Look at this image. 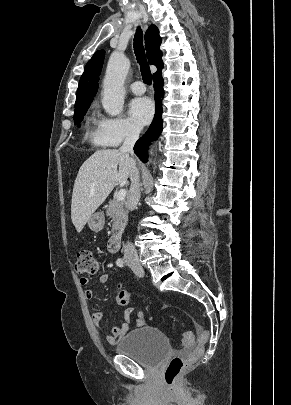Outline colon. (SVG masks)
<instances>
[{
    "mask_svg": "<svg viewBox=\"0 0 291 405\" xmlns=\"http://www.w3.org/2000/svg\"><path fill=\"white\" fill-rule=\"evenodd\" d=\"M76 271L81 274L95 275L99 271V264L94 258L92 252L87 248H82L77 252L76 259ZM131 294L124 286H119L116 301L120 305H126L129 303ZM209 340V332L206 329H202L199 334L197 346L192 353L186 357L175 356L173 357L164 373L165 382L168 385H173L178 380L183 370L196 362L204 353L205 345ZM194 342V336L192 333H184L182 336V343L184 346L189 347Z\"/></svg>",
    "mask_w": 291,
    "mask_h": 405,
    "instance_id": "colon-1",
    "label": "colon"
}]
</instances>
